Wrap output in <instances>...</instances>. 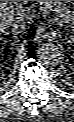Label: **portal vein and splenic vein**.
Returning <instances> with one entry per match:
<instances>
[{"label":"portal vein and splenic vein","instance_id":"portal-vein-and-splenic-vein-1","mask_svg":"<svg viewBox=\"0 0 74 122\" xmlns=\"http://www.w3.org/2000/svg\"><path fill=\"white\" fill-rule=\"evenodd\" d=\"M5 7L8 8L7 4H4V5L2 6V9H5Z\"/></svg>","mask_w":74,"mask_h":122}]
</instances>
